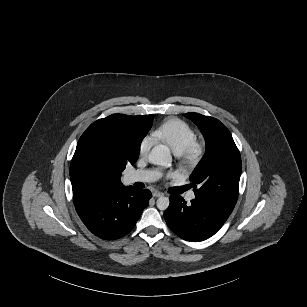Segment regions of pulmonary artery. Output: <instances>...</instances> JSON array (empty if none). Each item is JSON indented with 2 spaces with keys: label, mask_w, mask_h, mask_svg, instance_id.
Returning a JSON list of instances; mask_svg holds the SVG:
<instances>
[{
  "label": "pulmonary artery",
  "mask_w": 307,
  "mask_h": 307,
  "mask_svg": "<svg viewBox=\"0 0 307 307\" xmlns=\"http://www.w3.org/2000/svg\"><path fill=\"white\" fill-rule=\"evenodd\" d=\"M158 178V173L155 171H131L128 173L129 181H141L145 183L153 182ZM195 195L190 194V198H194Z\"/></svg>",
  "instance_id": "1"
}]
</instances>
